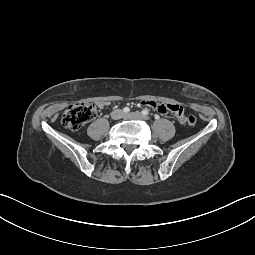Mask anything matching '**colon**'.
I'll return each instance as SVG.
<instances>
[{
    "mask_svg": "<svg viewBox=\"0 0 255 255\" xmlns=\"http://www.w3.org/2000/svg\"><path fill=\"white\" fill-rule=\"evenodd\" d=\"M98 114L97 106L90 102H79L70 105L62 115V124L70 130H78ZM196 118L191 115L187 124L195 125Z\"/></svg>",
    "mask_w": 255,
    "mask_h": 255,
    "instance_id": "colon-1",
    "label": "colon"
}]
</instances>
